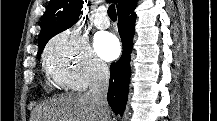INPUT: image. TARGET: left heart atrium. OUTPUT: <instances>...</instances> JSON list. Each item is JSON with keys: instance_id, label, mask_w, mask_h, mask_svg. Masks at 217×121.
<instances>
[{"instance_id": "left-heart-atrium-1", "label": "left heart atrium", "mask_w": 217, "mask_h": 121, "mask_svg": "<svg viewBox=\"0 0 217 121\" xmlns=\"http://www.w3.org/2000/svg\"><path fill=\"white\" fill-rule=\"evenodd\" d=\"M95 49L98 55L105 60H112L120 53V45L115 36L110 33H103L97 37Z\"/></svg>"}]
</instances>
